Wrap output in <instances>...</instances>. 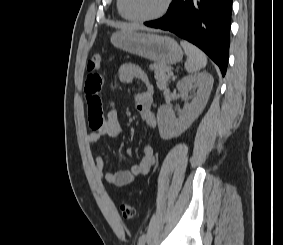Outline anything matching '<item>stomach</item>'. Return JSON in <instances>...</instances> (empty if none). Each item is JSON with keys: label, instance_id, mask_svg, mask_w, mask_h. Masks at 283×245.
<instances>
[{"label": "stomach", "instance_id": "0dacf381", "mask_svg": "<svg viewBox=\"0 0 283 245\" xmlns=\"http://www.w3.org/2000/svg\"><path fill=\"white\" fill-rule=\"evenodd\" d=\"M111 43L125 52L165 65L178 63L183 57L174 39L153 33L120 30L112 34Z\"/></svg>", "mask_w": 283, "mask_h": 245}]
</instances>
